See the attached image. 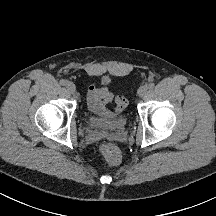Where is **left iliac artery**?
Returning a JSON list of instances; mask_svg holds the SVG:
<instances>
[{"label":"left iliac artery","instance_id":"1","mask_svg":"<svg viewBox=\"0 0 216 216\" xmlns=\"http://www.w3.org/2000/svg\"><path fill=\"white\" fill-rule=\"evenodd\" d=\"M148 88H149V89H153V88H154V83H150V84L148 85Z\"/></svg>","mask_w":216,"mask_h":216}]
</instances>
